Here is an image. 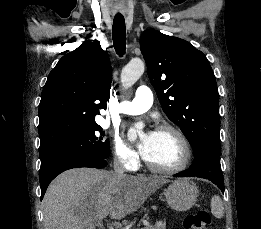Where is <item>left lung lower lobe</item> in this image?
Masks as SVG:
<instances>
[{
  "label": "left lung lower lobe",
  "instance_id": "left-lung-lower-lobe-1",
  "mask_svg": "<svg viewBox=\"0 0 261 229\" xmlns=\"http://www.w3.org/2000/svg\"><path fill=\"white\" fill-rule=\"evenodd\" d=\"M195 159L189 170L180 172L174 177H200L211 180L224 192V179L220 165V147L217 145H203L194 153Z\"/></svg>",
  "mask_w": 261,
  "mask_h": 229
}]
</instances>
